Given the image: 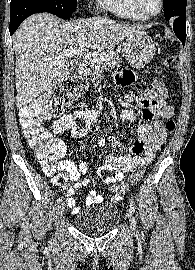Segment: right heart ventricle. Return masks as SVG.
Here are the masks:
<instances>
[{
    "instance_id": "e07e8e85",
    "label": "right heart ventricle",
    "mask_w": 195,
    "mask_h": 270,
    "mask_svg": "<svg viewBox=\"0 0 195 270\" xmlns=\"http://www.w3.org/2000/svg\"><path fill=\"white\" fill-rule=\"evenodd\" d=\"M100 5L109 12L130 20H145L131 5L130 0H98Z\"/></svg>"
}]
</instances>
